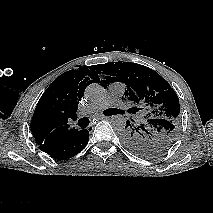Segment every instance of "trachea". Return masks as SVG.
<instances>
[{
	"label": "trachea",
	"instance_id": "1",
	"mask_svg": "<svg viewBox=\"0 0 213 213\" xmlns=\"http://www.w3.org/2000/svg\"><path fill=\"white\" fill-rule=\"evenodd\" d=\"M124 112L119 109H107L104 111V114L107 116L123 114ZM89 119L87 117H83L78 121V126L81 128H86L89 125Z\"/></svg>",
	"mask_w": 213,
	"mask_h": 213
}]
</instances>
